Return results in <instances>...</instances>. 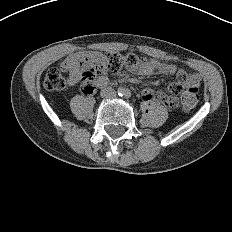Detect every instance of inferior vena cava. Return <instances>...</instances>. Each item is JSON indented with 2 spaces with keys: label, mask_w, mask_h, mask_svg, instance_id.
I'll use <instances>...</instances> for the list:
<instances>
[{
  "label": "inferior vena cava",
  "mask_w": 232,
  "mask_h": 232,
  "mask_svg": "<svg viewBox=\"0 0 232 232\" xmlns=\"http://www.w3.org/2000/svg\"><path fill=\"white\" fill-rule=\"evenodd\" d=\"M101 96L104 98H113L116 96V91L111 87H107L101 91Z\"/></svg>",
  "instance_id": "inferior-vena-cava-1"
}]
</instances>
